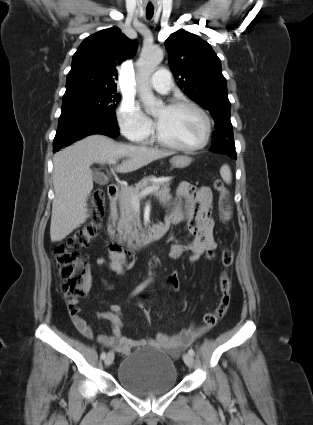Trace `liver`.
<instances>
[{
  "mask_svg": "<svg viewBox=\"0 0 313 425\" xmlns=\"http://www.w3.org/2000/svg\"><path fill=\"white\" fill-rule=\"evenodd\" d=\"M173 152L144 146L116 143L104 135H91L57 152L53 157V185L50 237L60 242L79 228L90 216L87 198L93 189L92 163L126 158L115 170L136 171Z\"/></svg>",
  "mask_w": 313,
  "mask_h": 425,
  "instance_id": "obj_1",
  "label": "liver"
}]
</instances>
